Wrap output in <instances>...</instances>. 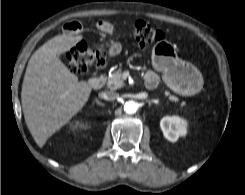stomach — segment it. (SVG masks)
Masks as SVG:
<instances>
[{
	"label": "stomach",
	"mask_w": 245,
	"mask_h": 195,
	"mask_svg": "<svg viewBox=\"0 0 245 195\" xmlns=\"http://www.w3.org/2000/svg\"><path fill=\"white\" fill-rule=\"evenodd\" d=\"M153 67L163 73L164 81L174 92L192 96L198 93L203 79L196 67L180 60L175 48L167 41L158 42L152 50Z\"/></svg>",
	"instance_id": "1"
}]
</instances>
